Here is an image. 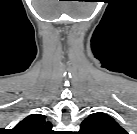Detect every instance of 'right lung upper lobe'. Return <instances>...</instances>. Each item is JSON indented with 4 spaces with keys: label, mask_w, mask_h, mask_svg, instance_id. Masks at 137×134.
Segmentation results:
<instances>
[{
    "label": "right lung upper lobe",
    "mask_w": 137,
    "mask_h": 134,
    "mask_svg": "<svg viewBox=\"0 0 137 134\" xmlns=\"http://www.w3.org/2000/svg\"><path fill=\"white\" fill-rule=\"evenodd\" d=\"M13 131L17 134H52V123L46 120V116L33 114L19 122Z\"/></svg>",
    "instance_id": "1"
}]
</instances>
